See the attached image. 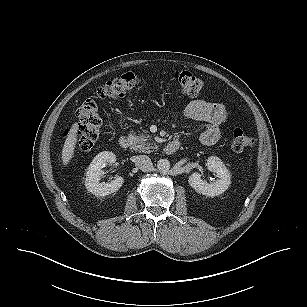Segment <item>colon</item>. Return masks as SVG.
<instances>
[{"label": "colon", "instance_id": "colon-1", "mask_svg": "<svg viewBox=\"0 0 307 307\" xmlns=\"http://www.w3.org/2000/svg\"><path fill=\"white\" fill-rule=\"evenodd\" d=\"M173 80L184 96L196 97L205 91V81L188 71H175ZM140 82V78L133 73H125L99 87L95 98L99 100L118 99L130 94ZM79 126L76 129L77 146L79 152L90 151L99 140L102 128V119L98 107L93 99L86 100L78 109ZM256 138L246 135L241 129L232 133L231 147L235 152H241L253 147Z\"/></svg>", "mask_w": 307, "mask_h": 307}]
</instances>
